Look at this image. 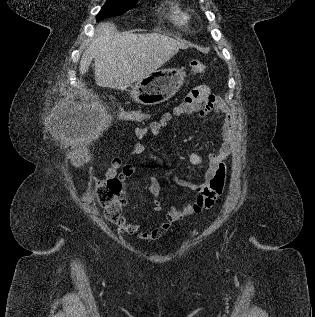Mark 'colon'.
Wrapping results in <instances>:
<instances>
[{"label":"colon","mask_w":315,"mask_h":317,"mask_svg":"<svg viewBox=\"0 0 315 317\" xmlns=\"http://www.w3.org/2000/svg\"><path fill=\"white\" fill-rule=\"evenodd\" d=\"M192 74L204 73L207 66L200 60H194L190 63ZM147 116L145 112L128 113L122 119L126 121H136ZM87 159V153H79L75 161L84 162ZM97 193L100 204L105 209V215L108 220L120 224L122 221V210L125 200L121 195V183L117 179L100 180L97 185Z\"/></svg>","instance_id":"colon-1"}]
</instances>
